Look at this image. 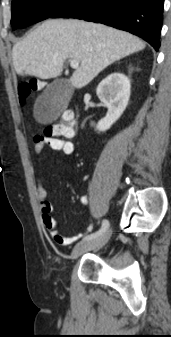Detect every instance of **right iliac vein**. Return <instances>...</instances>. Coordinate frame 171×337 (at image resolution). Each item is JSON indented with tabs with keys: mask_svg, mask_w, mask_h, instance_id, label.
<instances>
[{
	"mask_svg": "<svg viewBox=\"0 0 171 337\" xmlns=\"http://www.w3.org/2000/svg\"><path fill=\"white\" fill-rule=\"evenodd\" d=\"M111 235V231L108 230L107 232H105L103 235H101L100 237L94 239V240H87V241H83L78 243L71 254V257L73 259H76L77 257H79L80 255H82L83 253L90 251V250H99L100 248H102L107 241L109 240Z\"/></svg>",
	"mask_w": 171,
	"mask_h": 337,
	"instance_id": "right-iliac-vein-1",
	"label": "right iliac vein"
}]
</instances>
